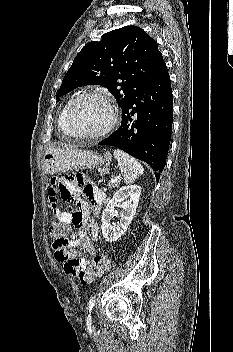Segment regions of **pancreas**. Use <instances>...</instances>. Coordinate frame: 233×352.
Here are the masks:
<instances>
[{"mask_svg":"<svg viewBox=\"0 0 233 352\" xmlns=\"http://www.w3.org/2000/svg\"><path fill=\"white\" fill-rule=\"evenodd\" d=\"M120 185V180H117L116 182H110L108 184L109 188H115L118 187Z\"/></svg>","mask_w":233,"mask_h":352,"instance_id":"cf45deb5","label":"pancreas"}]
</instances>
